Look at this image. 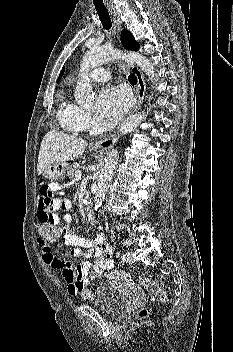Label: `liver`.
Returning <instances> with one entry per match:
<instances>
[{
  "instance_id": "liver-1",
  "label": "liver",
  "mask_w": 233,
  "mask_h": 352,
  "mask_svg": "<svg viewBox=\"0 0 233 352\" xmlns=\"http://www.w3.org/2000/svg\"><path fill=\"white\" fill-rule=\"evenodd\" d=\"M88 146V142L56 130L44 136L38 155L37 172L41 175L45 169L55 163H66L79 158Z\"/></svg>"
}]
</instances>
